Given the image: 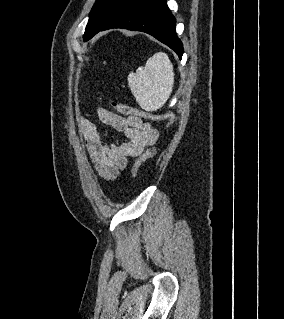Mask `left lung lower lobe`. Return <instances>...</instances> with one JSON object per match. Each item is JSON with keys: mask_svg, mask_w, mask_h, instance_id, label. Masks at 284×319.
I'll return each instance as SVG.
<instances>
[{"mask_svg": "<svg viewBox=\"0 0 284 319\" xmlns=\"http://www.w3.org/2000/svg\"><path fill=\"white\" fill-rule=\"evenodd\" d=\"M175 25L176 19L166 0H124L100 31L124 28L148 33L173 49L181 59L183 44L177 37Z\"/></svg>", "mask_w": 284, "mask_h": 319, "instance_id": "left-lung-lower-lobe-1", "label": "left lung lower lobe"}]
</instances>
